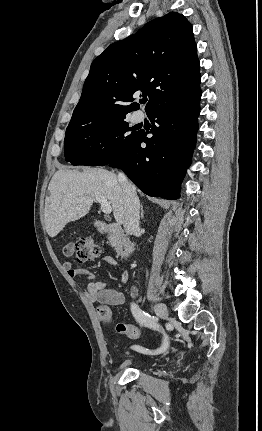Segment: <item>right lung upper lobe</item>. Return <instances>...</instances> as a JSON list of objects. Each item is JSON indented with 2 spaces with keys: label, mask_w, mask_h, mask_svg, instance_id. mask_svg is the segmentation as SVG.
Here are the masks:
<instances>
[{
  "label": "right lung upper lobe",
  "mask_w": 262,
  "mask_h": 431,
  "mask_svg": "<svg viewBox=\"0 0 262 431\" xmlns=\"http://www.w3.org/2000/svg\"><path fill=\"white\" fill-rule=\"evenodd\" d=\"M196 51L192 26L182 14L150 21L93 61L70 123L126 116L139 108L127 103L141 92L149 97L147 114L187 98L200 85Z\"/></svg>",
  "instance_id": "obj_1"
}]
</instances>
